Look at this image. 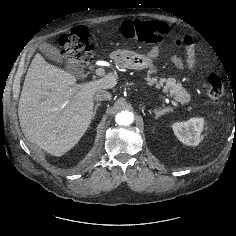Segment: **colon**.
<instances>
[{
  "label": "colon",
  "instance_id": "colon-1",
  "mask_svg": "<svg viewBox=\"0 0 236 236\" xmlns=\"http://www.w3.org/2000/svg\"><path fill=\"white\" fill-rule=\"evenodd\" d=\"M119 34L127 39L147 44L162 42L168 34L167 26L158 21L127 20L119 27ZM59 43L63 48L66 62L79 67H85L92 58L90 33L84 26H77L59 36ZM205 90L209 97L220 98L225 90V83L221 76L210 74L205 82Z\"/></svg>",
  "mask_w": 236,
  "mask_h": 236
}]
</instances>
